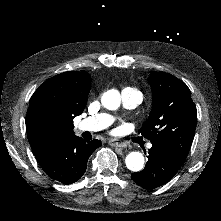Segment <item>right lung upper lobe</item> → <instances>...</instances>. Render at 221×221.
Returning a JSON list of instances; mask_svg holds the SVG:
<instances>
[{
	"instance_id": "right-lung-upper-lobe-1",
	"label": "right lung upper lobe",
	"mask_w": 221,
	"mask_h": 221,
	"mask_svg": "<svg viewBox=\"0 0 221 221\" xmlns=\"http://www.w3.org/2000/svg\"><path fill=\"white\" fill-rule=\"evenodd\" d=\"M91 76L68 71L46 80L32 95L26 132L35 156L74 136L73 119L87 103Z\"/></svg>"
}]
</instances>
